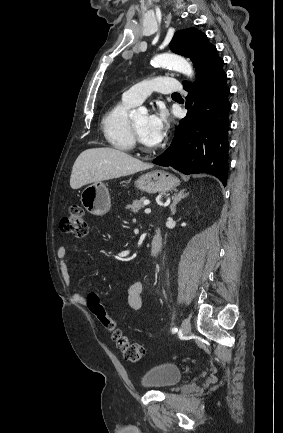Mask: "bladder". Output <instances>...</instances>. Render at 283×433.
Returning <instances> with one entry per match:
<instances>
[{
    "instance_id": "1",
    "label": "bladder",
    "mask_w": 283,
    "mask_h": 433,
    "mask_svg": "<svg viewBox=\"0 0 283 433\" xmlns=\"http://www.w3.org/2000/svg\"><path fill=\"white\" fill-rule=\"evenodd\" d=\"M182 371L172 363H162L149 369L143 376L141 383L146 388H171L179 382Z\"/></svg>"
}]
</instances>
